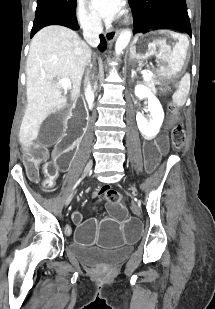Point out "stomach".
I'll return each instance as SVG.
<instances>
[{"label": "stomach", "instance_id": "obj_1", "mask_svg": "<svg viewBox=\"0 0 215 309\" xmlns=\"http://www.w3.org/2000/svg\"><path fill=\"white\" fill-rule=\"evenodd\" d=\"M188 49L189 40L185 34L169 29H156L136 34L129 53L130 60L135 63L156 57V79L164 82L176 77L186 66Z\"/></svg>", "mask_w": 215, "mask_h": 309}]
</instances>
